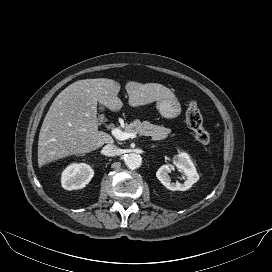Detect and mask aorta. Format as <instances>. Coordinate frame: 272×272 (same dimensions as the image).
Segmentation results:
<instances>
[{"mask_svg": "<svg viewBox=\"0 0 272 272\" xmlns=\"http://www.w3.org/2000/svg\"><path fill=\"white\" fill-rule=\"evenodd\" d=\"M142 158L139 154L130 153L125 158V164L130 169H136L141 166Z\"/></svg>", "mask_w": 272, "mask_h": 272, "instance_id": "1", "label": "aorta"}]
</instances>
